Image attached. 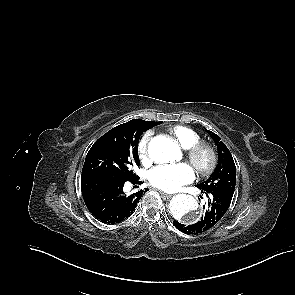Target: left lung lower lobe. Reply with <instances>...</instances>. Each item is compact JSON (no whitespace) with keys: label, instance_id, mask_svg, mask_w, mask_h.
Instances as JSON below:
<instances>
[{"label":"left lung lower lobe","instance_id":"left-lung-lower-lobe-1","mask_svg":"<svg viewBox=\"0 0 295 295\" xmlns=\"http://www.w3.org/2000/svg\"><path fill=\"white\" fill-rule=\"evenodd\" d=\"M204 193L208 196V205L204 206L206 210L198 222L192 225H184L177 221L173 222L174 226L181 232L193 235L205 232L214 227L227 212L233 194L219 190L204 191Z\"/></svg>","mask_w":295,"mask_h":295}]
</instances>
